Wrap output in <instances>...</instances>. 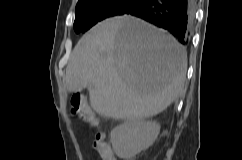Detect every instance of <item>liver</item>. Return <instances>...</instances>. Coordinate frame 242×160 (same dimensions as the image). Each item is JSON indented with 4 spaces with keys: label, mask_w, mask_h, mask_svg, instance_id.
<instances>
[{
    "label": "liver",
    "mask_w": 242,
    "mask_h": 160,
    "mask_svg": "<svg viewBox=\"0 0 242 160\" xmlns=\"http://www.w3.org/2000/svg\"><path fill=\"white\" fill-rule=\"evenodd\" d=\"M186 68V51L171 35L138 18L117 16L79 40L66 68V88H88L99 115L144 120L178 97Z\"/></svg>",
    "instance_id": "liver-1"
}]
</instances>
